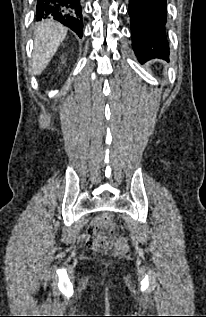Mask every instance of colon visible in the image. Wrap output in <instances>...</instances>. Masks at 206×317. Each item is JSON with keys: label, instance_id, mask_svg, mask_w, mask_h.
Returning a JSON list of instances; mask_svg holds the SVG:
<instances>
[{"label": "colon", "instance_id": "5ec220e1", "mask_svg": "<svg viewBox=\"0 0 206 317\" xmlns=\"http://www.w3.org/2000/svg\"><path fill=\"white\" fill-rule=\"evenodd\" d=\"M114 221L110 214H104L98 220V225L88 235V245L95 251L112 249L116 254H124L128 243L123 237H116L112 231Z\"/></svg>", "mask_w": 206, "mask_h": 317}]
</instances>
